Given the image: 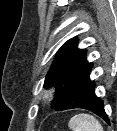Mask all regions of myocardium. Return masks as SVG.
<instances>
[{
	"instance_id": "1",
	"label": "myocardium",
	"mask_w": 117,
	"mask_h": 131,
	"mask_svg": "<svg viewBox=\"0 0 117 131\" xmlns=\"http://www.w3.org/2000/svg\"><path fill=\"white\" fill-rule=\"evenodd\" d=\"M55 97V89L53 87L44 90L40 95V101L44 104L50 103Z\"/></svg>"
}]
</instances>
